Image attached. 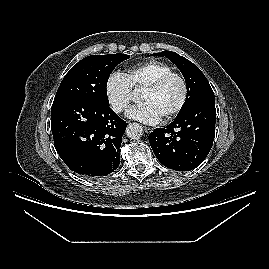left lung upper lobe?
I'll return each instance as SVG.
<instances>
[{
	"label": "left lung upper lobe",
	"mask_w": 269,
	"mask_h": 269,
	"mask_svg": "<svg viewBox=\"0 0 269 269\" xmlns=\"http://www.w3.org/2000/svg\"><path fill=\"white\" fill-rule=\"evenodd\" d=\"M163 55L170 59L179 68L186 81L187 98L178 115L184 113L199 100L208 96H214L207 78L192 62L172 51H163L162 54H153V56Z\"/></svg>",
	"instance_id": "1"
}]
</instances>
